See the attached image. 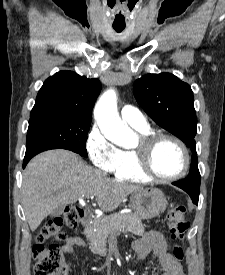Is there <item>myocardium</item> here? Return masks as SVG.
<instances>
[{
    "label": "myocardium",
    "mask_w": 225,
    "mask_h": 275,
    "mask_svg": "<svg viewBox=\"0 0 225 275\" xmlns=\"http://www.w3.org/2000/svg\"><path fill=\"white\" fill-rule=\"evenodd\" d=\"M163 140H169L179 146L184 157L182 169L174 175L163 176L158 174L152 165V155L155 148ZM137 156V167L139 171L149 179L156 181H173L186 175L190 167V154L185 143L176 136L164 133H150L143 135L139 146L135 149Z\"/></svg>",
    "instance_id": "obj_1"
}]
</instances>
